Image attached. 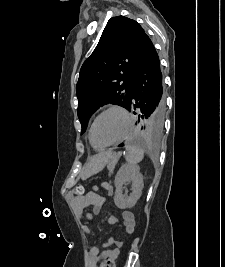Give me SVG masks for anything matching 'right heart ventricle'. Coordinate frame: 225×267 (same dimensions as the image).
I'll use <instances>...</instances> for the list:
<instances>
[{
	"mask_svg": "<svg viewBox=\"0 0 225 267\" xmlns=\"http://www.w3.org/2000/svg\"><path fill=\"white\" fill-rule=\"evenodd\" d=\"M88 137H89V136H88ZM93 148H95V149H97V150H101L100 148H96V147H94V146H93Z\"/></svg>",
	"mask_w": 225,
	"mask_h": 267,
	"instance_id": "right-heart-ventricle-1",
	"label": "right heart ventricle"
}]
</instances>
